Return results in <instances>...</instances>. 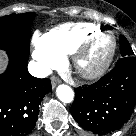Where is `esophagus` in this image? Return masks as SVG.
<instances>
[{
    "label": "esophagus",
    "instance_id": "esophagus-1",
    "mask_svg": "<svg viewBox=\"0 0 136 136\" xmlns=\"http://www.w3.org/2000/svg\"><path fill=\"white\" fill-rule=\"evenodd\" d=\"M59 83H60V80L57 77L53 76L51 78L52 88H55Z\"/></svg>",
    "mask_w": 136,
    "mask_h": 136
}]
</instances>
